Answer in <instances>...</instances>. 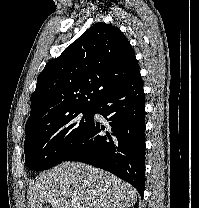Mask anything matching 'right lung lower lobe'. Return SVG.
<instances>
[{
    "instance_id": "right-lung-lower-lobe-1",
    "label": "right lung lower lobe",
    "mask_w": 199,
    "mask_h": 208,
    "mask_svg": "<svg viewBox=\"0 0 199 208\" xmlns=\"http://www.w3.org/2000/svg\"><path fill=\"white\" fill-rule=\"evenodd\" d=\"M108 126L94 121L64 161H79L107 170L132 184L141 197L145 187V97L141 75L114 89L93 106ZM105 131L106 135H99Z\"/></svg>"
}]
</instances>
